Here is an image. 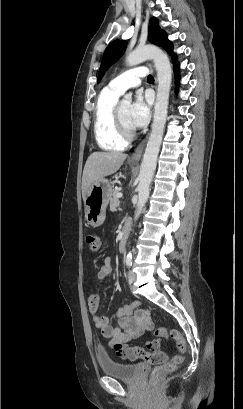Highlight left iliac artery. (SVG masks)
I'll return each instance as SVG.
<instances>
[{"instance_id":"left-iliac-artery-1","label":"left iliac artery","mask_w":243,"mask_h":409,"mask_svg":"<svg viewBox=\"0 0 243 409\" xmlns=\"http://www.w3.org/2000/svg\"><path fill=\"white\" fill-rule=\"evenodd\" d=\"M125 263H126V266H127L128 268H130V267L132 266V259H131V258H127L126 261H125Z\"/></svg>"}]
</instances>
